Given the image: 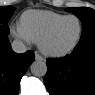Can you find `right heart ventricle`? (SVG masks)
<instances>
[{
	"mask_svg": "<svg viewBox=\"0 0 95 95\" xmlns=\"http://www.w3.org/2000/svg\"><path fill=\"white\" fill-rule=\"evenodd\" d=\"M64 16L48 10H28L20 18V27L32 42H39L43 34Z\"/></svg>",
	"mask_w": 95,
	"mask_h": 95,
	"instance_id": "e07e8e85",
	"label": "right heart ventricle"
}]
</instances>
